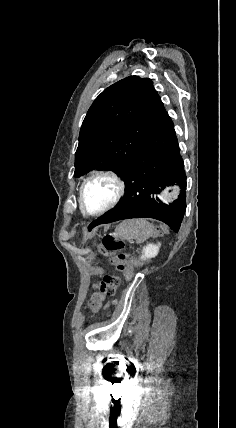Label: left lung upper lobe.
<instances>
[{
  "mask_svg": "<svg viewBox=\"0 0 236 428\" xmlns=\"http://www.w3.org/2000/svg\"><path fill=\"white\" fill-rule=\"evenodd\" d=\"M164 113L149 78L129 76L106 88L82 123L74 176L96 169L122 177L145 135Z\"/></svg>",
  "mask_w": 236,
  "mask_h": 428,
  "instance_id": "obj_1",
  "label": "left lung upper lobe"
}]
</instances>
